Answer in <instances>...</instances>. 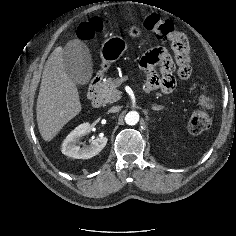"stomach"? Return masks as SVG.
I'll list each match as a JSON object with an SVG mask.
<instances>
[{
    "label": "stomach",
    "instance_id": "obj_1",
    "mask_svg": "<svg viewBox=\"0 0 236 236\" xmlns=\"http://www.w3.org/2000/svg\"><path fill=\"white\" fill-rule=\"evenodd\" d=\"M128 34L132 39L139 38L142 36L143 30L139 26L133 25L129 27ZM127 47L126 41L120 36H112L106 39L100 50L103 69L120 59Z\"/></svg>",
    "mask_w": 236,
    "mask_h": 236
}]
</instances>
